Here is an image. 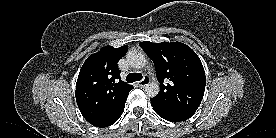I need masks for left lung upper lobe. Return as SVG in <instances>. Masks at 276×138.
Here are the masks:
<instances>
[{
  "mask_svg": "<svg viewBox=\"0 0 276 138\" xmlns=\"http://www.w3.org/2000/svg\"><path fill=\"white\" fill-rule=\"evenodd\" d=\"M140 46L154 62L160 82V92L150 99L151 104L173 115L193 116L206 85L205 71L197 54L181 42L144 41Z\"/></svg>",
  "mask_w": 276,
  "mask_h": 138,
  "instance_id": "obj_1",
  "label": "left lung upper lobe"
}]
</instances>
